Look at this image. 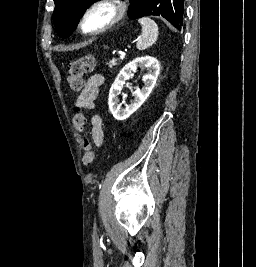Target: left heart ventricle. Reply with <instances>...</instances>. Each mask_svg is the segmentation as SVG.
<instances>
[{
    "mask_svg": "<svg viewBox=\"0 0 256 267\" xmlns=\"http://www.w3.org/2000/svg\"><path fill=\"white\" fill-rule=\"evenodd\" d=\"M113 11L110 8L102 7L96 9L86 19L85 29L88 31H96L104 27L112 18Z\"/></svg>",
    "mask_w": 256,
    "mask_h": 267,
    "instance_id": "b2bd125f",
    "label": "left heart ventricle"
}]
</instances>
